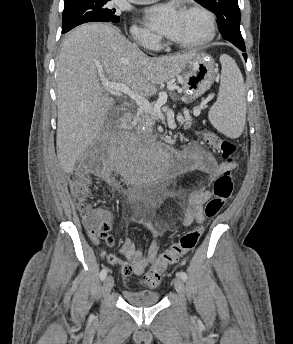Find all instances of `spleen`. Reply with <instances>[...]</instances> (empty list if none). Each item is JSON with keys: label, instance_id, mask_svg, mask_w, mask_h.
Returning <instances> with one entry per match:
<instances>
[{"label": "spleen", "instance_id": "obj_1", "mask_svg": "<svg viewBox=\"0 0 293 344\" xmlns=\"http://www.w3.org/2000/svg\"><path fill=\"white\" fill-rule=\"evenodd\" d=\"M222 65L217 101L208 113L211 124L229 138H238L245 126L246 98L244 79L236 62L220 56Z\"/></svg>", "mask_w": 293, "mask_h": 344}]
</instances>
